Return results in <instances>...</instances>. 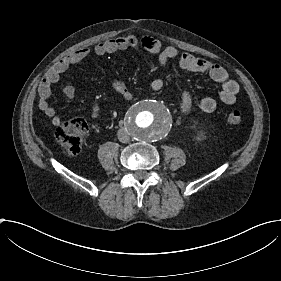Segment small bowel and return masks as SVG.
<instances>
[{
	"label": "small bowel",
	"mask_w": 281,
	"mask_h": 281,
	"mask_svg": "<svg viewBox=\"0 0 281 281\" xmlns=\"http://www.w3.org/2000/svg\"><path fill=\"white\" fill-rule=\"evenodd\" d=\"M143 48L152 53H158V62L162 69L167 68L172 60L177 61V65L191 72H206L216 82L220 83L221 90L219 97L226 105H233L239 92V85L236 81L229 78L227 71L219 64L208 61L206 59L196 58L191 54H180L179 51L172 47H163L160 40L146 36L138 37L134 35L119 36L103 40L93 46L79 48L60 62H58L50 70L43 79L39 89L38 107L43 115L49 120L52 126L59 127L63 124V119L56 113L55 109L50 105L49 98L52 93V87L57 83L62 74L71 66H74L86 58L97 55L113 53L126 49ZM110 87L117 92L123 99L129 101L132 94L127 85L118 78L112 77L109 80ZM164 82L160 78H156L151 82V88L159 91L163 88ZM63 95L69 102L76 100V90L73 85L63 87ZM200 108L205 112H212L218 106V100L215 96H204L199 102ZM190 107V98L188 94H184L181 99V108L183 112H187ZM100 104L95 103L92 107L91 118L98 119L100 116Z\"/></svg>",
	"instance_id": "1"
}]
</instances>
